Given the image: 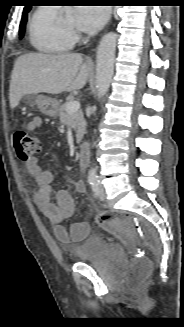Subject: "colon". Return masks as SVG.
I'll return each instance as SVG.
<instances>
[{
	"label": "colon",
	"instance_id": "1",
	"mask_svg": "<svg viewBox=\"0 0 184 327\" xmlns=\"http://www.w3.org/2000/svg\"><path fill=\"white\" fill-rule=\"evenodd\" d=\"M13 146L18 158L27 162L41 151L40 140L26 131L17 130L13 134ZM99 226L127 240L153 241L152 234L139 219H132L127 214H102L96 219ZM151 270L150 262L138 255L130 275V284L139 287L148 277Z\"/></svg>",
	"mask_w": 184,
	"mask_h": 327
}]
</instances>
